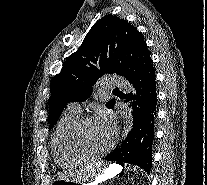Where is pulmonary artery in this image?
<instances>
[{
    "instance_id": "1",
    "label": "pulmonary artery",
    "mask_w": 207,
    "mask_h": 185,
    "mask_svg": "<svg viewBox=\"0 0 207 185\" xmlns=\"http://www.w3.org/2000/svg\"><path fill=\"white\" fill-rule=\"evenodd\" d=\"M103 91H112V86H124V81L120 77H106V81L102 82ZM68 112L79 113L80 105L72 103L68 106Z\"/></svg>"
}]
</instances>
